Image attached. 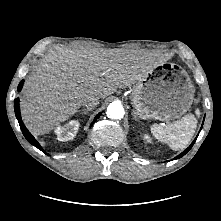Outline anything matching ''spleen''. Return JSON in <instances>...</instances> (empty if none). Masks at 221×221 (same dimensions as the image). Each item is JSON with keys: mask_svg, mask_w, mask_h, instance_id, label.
<instances>
[{"mask_svg": "<svg viewBox=\"0 0 221 221\" xmlns=\"http://www.w3.org/2000/svg\"><path fill=\"white\" fill-rule=\"evenodd\" d=\"M196 127L197 119L195 115L187 114L180 120L166 126L153 124L151 133L158 141L168 144L172 150L177 151L184 149L189 144Z\"/></svg>", "mask_w": 221, "mask_h": 221, "instance_id": "3e777b00", "label": "spleen"}]
</instances>
